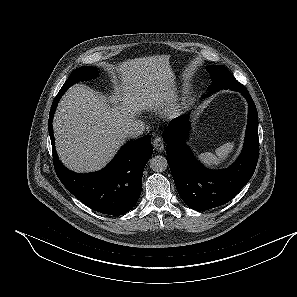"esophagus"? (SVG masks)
<instances>
[{
	"label": "esophagus",
	"instance_id": "esophagus-1",
	"mask_svg": "<svg viewBox=\"0 0 297 297\" xmlns=\"http://www.w3.org/2000/svg\"><path fill=\"white\" fill-rule=\"evenodd\" d=\"M152 145L158 152H162L164 150V142L161 137L154 138Z\"/></svg>",
	"mask_w": 297,
	"mask_h": 297
}]
</instances>
